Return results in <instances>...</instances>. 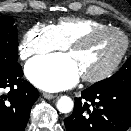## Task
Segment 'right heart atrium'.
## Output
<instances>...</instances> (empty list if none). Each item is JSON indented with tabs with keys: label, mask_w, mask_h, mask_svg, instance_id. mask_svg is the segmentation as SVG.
I'll return each mask as SVG.
<instances>
[{
	"label": "right heart atrium",
	"mask_w": 131,
	"mask_h": 131,
	"mask_svg": "<svg viewBox=\"0 0 131 131\" xmlns=\"http://www.w3.org/2000/svg\"><path fill=\"white\" fill-rule=\"evenodd\" d=\"M65 46L59 40L53 26L37 23L30 27L19 45V53L23 59L44 55Z\"/></svg>",
	"instance_id": "obj_1"
}]
</instances>
